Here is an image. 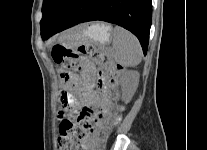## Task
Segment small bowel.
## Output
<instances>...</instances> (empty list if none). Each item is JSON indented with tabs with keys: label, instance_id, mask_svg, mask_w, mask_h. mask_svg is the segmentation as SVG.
Segmentation results:
<instances>
[{
	"label": "small bowel",
	"instance_id": "small-bowel-1",
	"mask_svg": "<svg viewBox=\"0 0 207 150\" xmlns=\"http://www.w3.org/2000/svg\"><path fill=\"white\" fill-rule=\"evenodd\" d=\"M84 68L86 73H90L95 70L94 66L89 61H84ZM70 77H74L76 80V86L72 87L73 95L71 99L79 98L85 104H99L100 98L94 94L88 87V83L86 79H80L76 76L70 75ZM103 80V76L100 77Z\"/></svg>",
	"mask_w": 207,
	"mask_h": 150
}]
</instances>
